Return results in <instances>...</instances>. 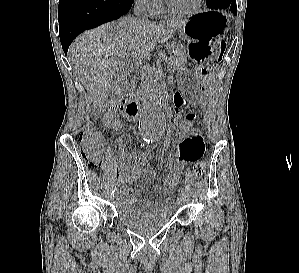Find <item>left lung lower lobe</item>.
<instances>
[{
	"label": "left lung lower lobe",
	"mask_w": 299,
	"mask_h": 273,
	"mask_svg": "<svg viewBox=\"0 0 299 273\" xmlns=\"http://www.w3.org/2000/svg\"><path fill=\"white\" fill-rule=\"evenodd\" d=\"M210 9L228 8L232 13L237 14L236 0H206Z\"/></svg>",
	"instance_id": "left-lung-lower-lobe-1"
}]
</instances>
